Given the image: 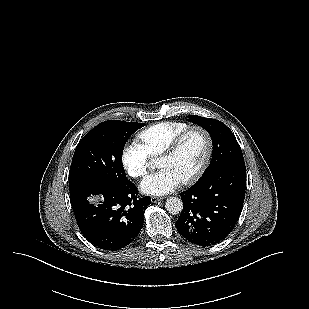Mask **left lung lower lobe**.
<instances>
[{
	"label": "left lung lower lobe",
	"instance_id": "1",
	"mask_svg": "<svg viewBox=\"0 0 309 309\" xmlns=\"http://www.w3.org/2000/svg\"><path fill=\"white\" fill-rule=\"evenodd\" d=\"M246 186L244 160L230 162L202 177L180 193L183 211L178 232L189 242L211 246L233 230L243 207Z\"/></svg>",
	"mask_w": 309,
	"mask_h": 309
}]
</instances>
